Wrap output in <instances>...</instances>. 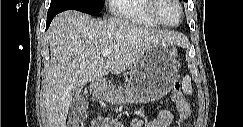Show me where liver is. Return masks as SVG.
I'll return each mask as SVG.
<instances>
[{
    "label": "liver",
    "instance_id": "obj_1",
    "mask_svg": "<svg viewBox=\"0 0 243 127\" xmlns=\"http://www.w3.org/2000/svg\"><path fill=\"white\" fill-rule=\"evenodd\" d=\"M50 67L45 101L48 127H66L73 96L101 76L119 74L161 43L185 47L187 38L176 32L146 29L120 18L96 20L78 11L57 15L49 28ZM111 54L104 59L102 51Z\"/></svg>",
    "mask_w": 243,
    "mask_h": 127
}]
</instances>
